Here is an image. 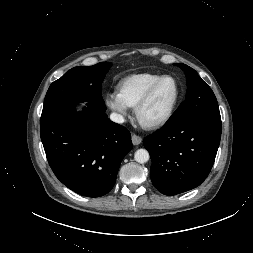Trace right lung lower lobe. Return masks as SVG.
I'll use <instances>...</instances> for the list:
<instances>
[{
  "instance_id": "98d812e1",
  "label": "right lung lower lobe",
  "mask_w": 253,
  "mask_h": 253,
  "mask_svg": "<svg viewBox=\"0 0 253 253\" xmlns=\"http://www.w3.org/2000/svg\"><path fill=\"white\" fill-rule=\"evenodd\" d=\"M105 111L104 102L88 104L82 112L69 104L41 116V140L51 169L82 196L108 193L133 147L130 132L109 120Z\"/></svg>"
}]
</instances>
